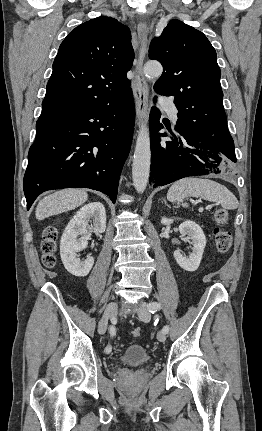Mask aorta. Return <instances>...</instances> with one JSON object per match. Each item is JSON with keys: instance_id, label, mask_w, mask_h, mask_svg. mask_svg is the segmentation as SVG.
<instances>
[{"instance_id": "762f6f07", "label": "aorta", "mask_w": 262, "mask_h": 431, "mask_svg": "<svg viewBox=\"0 0 262 431\" xmlns=\"http://www.w3.org/2000/svg\"><path fill=\"white\" fill-rule=\"evenodd\" d=\"M143 72L147 79L153 80L161 76L163 67L158 62H148L145 64ZM150 163L149 129L145 123H142L136 140L132 164L133 184L138 193H143L146 189L149 180Z\"/></svg>"}]
</instances>
